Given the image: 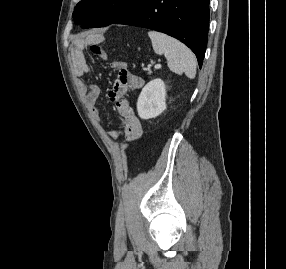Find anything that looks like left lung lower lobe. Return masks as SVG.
<instances>
[{"label": "left lung lower lobe", "mask_w": 286, "mask_h": 269, "mask_svg": "<svg viewBox=\"0 0 286 269\" xmlns=\"http://www.w3.org/2000/svg\"><path fill=\"white\" fill-rule=\"evenodd\" d=\"M115 23L175 37L195 53L201 67L208 38L209 0H144Z\"/></svg>", "instance_id": "obj_1"}]
</instances>
